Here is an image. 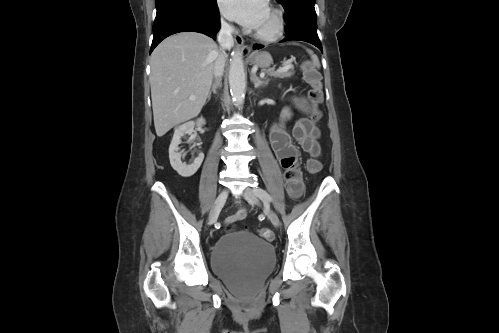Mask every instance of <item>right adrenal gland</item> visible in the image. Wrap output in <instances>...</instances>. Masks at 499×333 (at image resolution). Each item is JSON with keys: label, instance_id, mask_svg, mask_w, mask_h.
Instances as JSON below:
<instances>
[{"label": "right adrenal gland", "instance_id": "right-adrenal-gland-1", "mask_svg": "<svg viewBox=\"0 0 499 333\" xmlns=\"http://www.w3.org/2000/svg\"><path fill=\"white\" fill-rule=\"evenodd\" d=\"M221 85H222V84H221V79H217V80H215V82L212 84V88H211V90H210V91H209V93H208V96H207V99H208V100L211 98V94H212V92H213L214 94H216V93H217V88H218V87H221Z\"/></svg>", "mask_w": 499, "mask_h": 333}]
</instances>
